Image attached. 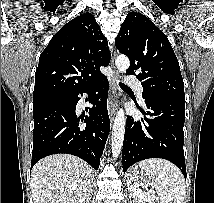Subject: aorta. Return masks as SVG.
<instances>
[{"instance_id":"762f6f07","label":"aorta","mask_w":214,"mask_h":203,"mask_svg":"<svg viewBox=\"0 0 214 203\" xmlns=\"http://www.w3.org/2000/svg\"><path fill=\"white\" fill-rule=\"evenodd\" d=\"M129 65L130 60L125 55H119L115 60V66L119 72H126ZM125 125L126 116L124 114V110L120 109L115 117L111 136L112 155L114 158H117L121 152L124 140Z\"/></svg>"}]
</instances>
